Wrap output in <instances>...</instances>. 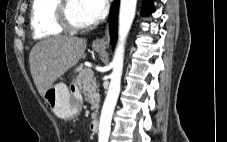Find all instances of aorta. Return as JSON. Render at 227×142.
<instances>
[{
	"mask_svg": "<svg viewBox=\"0 0 227 142\" xmlns=\"http://www.w3.org/2000/svg\"><path fill=\"white\" fill-rule=\"evenodd\" d=\"M136 4L137 0H121L120 2L119 39L111 63L113 71L109 89L101 111L98 133L99 142H108L109 139L112 115L120 93L125 42L135 17Z\"/></svg>",
	"mask_w": 227,
	"mask_h": 142,
	"instance_id": "obj_1",
	"label": "aorta"
}]
</instances>
